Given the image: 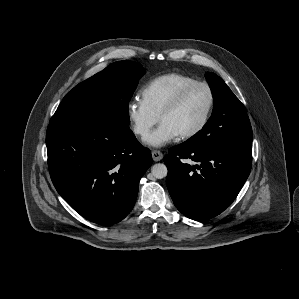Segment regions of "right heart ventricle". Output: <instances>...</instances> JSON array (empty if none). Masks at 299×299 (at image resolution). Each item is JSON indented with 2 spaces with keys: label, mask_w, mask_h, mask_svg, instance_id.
Masks as SVG:
<instances>
[{
  "label": "right heart ventricle",
  "mask_w": 299,
  "mask_h": 299,
  "mask_svg": "<svg viewBox=\"0 0 299 299\" xmlns=\"http://www.w3.org/2000/svg\"><path fill=\"white\" fill-rule=\"evenodd\" d=\"M196 79L181 73H168L158 76L147 83L141 90V100L157 116L162 109L184 86Z\"/></svg>",
  "instance_id": "e07e8e85"
}]
</instances>
